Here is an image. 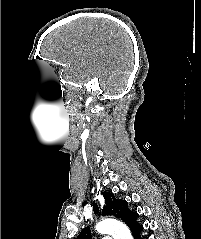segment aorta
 <instances>
[{"label":"aorta","instance_id":"762f6f07","mask_svg":"<svg viewBox=\"0 0 201 239\" xmlns=\"http://www.w3.org/2000/svg\"><path fill=\"white\" fill-rule=\"evenodd\" d=\"M97 232L110 234L114 239H133L130 230L122 222L107 218L96 225Z\"/></svg>","mask_w":201,"mask_h":239}]
</instances>
